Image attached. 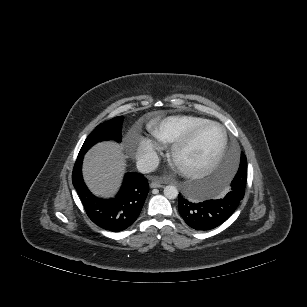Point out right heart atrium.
Listing matches in <instances>:
<instances>
[{"label": "right heart atrium", "instance_id": "obj_1", "mask_svg": "<svg viewBox=\"0 0 307 307\" xmlns=\"http://www.w3.org/2000/svg\"><path fill=\"white\" fill-rule=\"evenodd\" d=\"M136 144L135 156L140 167L144 170L153 168L163 150L162 144L150 136H137Z\"/></svg>", "mask_w": 307, "mask_h": 307}]
</instances>
